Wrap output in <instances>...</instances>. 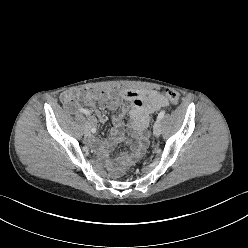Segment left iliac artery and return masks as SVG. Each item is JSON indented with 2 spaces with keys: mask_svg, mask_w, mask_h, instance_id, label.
Instances as JSON below:
<instances>
[{
  "mask_svg": "<svg viewBox=\"0 0 248 248\" xmlns=\"http://www.w3.org/2000/svg\"><path fill=\"white\" fill-rule=\"evenodd\" d=\"M165 115V111H161L159 114H158V117H157V120H161Z\"/></svg>",
  "mask_w": 248,
  "mask_h": 248,
  "instance_id": "obj_1",
  "label": "left iliac artery"
}]
</instances>
